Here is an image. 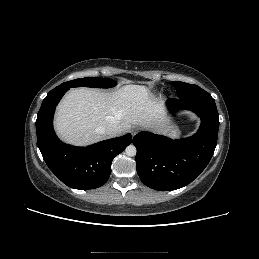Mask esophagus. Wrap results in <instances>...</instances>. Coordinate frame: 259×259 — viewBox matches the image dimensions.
<instances>
[{
    "instance_id": "esophagus-1",
    "label": "esophagus",
    "mask_w": 259,
    "mask_h": 259,
    "mask_svg": "<svg viewBox=\"0 0 259 259\" xmlns=\"http://www.w3.org/2000/svg\"><path fill=\"white\" fill-rule=\"evenodd\" d=\"M138 131H139V128H138V127H133V128L131 129V134L134 136V135H136V134L138 133Z\"/></svg>"
}]
</instances>
